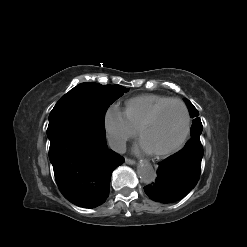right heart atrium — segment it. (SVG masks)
<instances>
[{
    "mask_svg": "<svg viewBox=\"0 0 247 247\" xmlns=\"http://www.w3.org/2000/svg\"><path fill=\"white\" fill-rule=\"evenodd\" d=\"M104 128L109 144L117 152L123 151L127 142L136 136V130L129 125L124 113L116 106H111L105 112Z\"/></svg>",
    "mask_w": 247,
    "mask_h": 247,
    "instance_id": "1",
    "label": "right heart atrium"
}]
</instances>
